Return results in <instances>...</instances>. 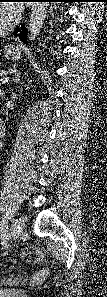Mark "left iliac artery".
I'll use <instances>...</instances> for the list:
<instances>
[{
	"mask_svg": "<svg viewBox=\"0 0 107 297\" xmlns=\"http://www.w3.org/2000/svg\"><path fill=\"white\" fill-rule=\"evenodd\" d=\"M16 210L15 204H11L9 211L6 212V215H4V217L2 218V221L0 223V230L3 236V241L2 244L6 243L7 240L9 239V231H8V227H7V221L12 217V215L14 214Z\"/></svg>",
	"mask_w": 107,
	"mask_h": 297,
	"instance_id": "44dca946",
	"label": "left iliac artery"
}]
</instances>
